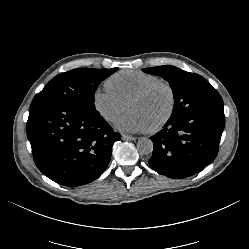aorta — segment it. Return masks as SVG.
Segmentation results:
<instances>
[{
    "label": "aorta",
    "instance_id": "obj_1",
    "mask_svg": "<svg viewBox=\"0 0 249 249\" xmlns=\"http://www.w3.org/2000/svg\"><path fill=\"white\" fill-rule=\"evenodd\" d=\"M153 148H154L153 142L150 139H148L146 137L138 139L137 150L140 154L149 155L152 153Z\"/></svg>",
    "mask_w": 249,
    "mask_h": 249
}]
</instances>
